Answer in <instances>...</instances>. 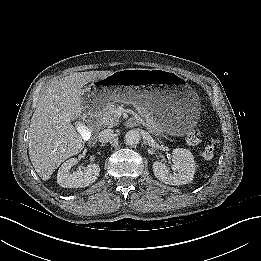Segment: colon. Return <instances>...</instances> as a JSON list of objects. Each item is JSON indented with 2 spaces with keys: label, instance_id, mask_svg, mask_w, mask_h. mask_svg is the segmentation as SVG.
I'll list each match as a JSON object with an SVG mask.
<instances>
[{
  "label": "colon",
  "instance_id": "colon-1",
  "mask_svg": "<svg viewBox=\"0 0 261 261\" xmlns=\"http://www.w3.org/2000/svg\"><path fill=\"white\" fill-rule=\"evenodd\" d=\"M201 140V133L198 129H192L187 136V141L191 145H198ZM217 140L214 137H211L206 143L200 155L204 159H211L215 155Z\"/></svg>",
  "mask_w": 261,
  "mask_h": 261
}]
</instances>
